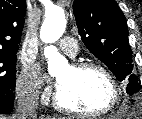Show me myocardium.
Wrapping results in <instances>:
<instances>
[{
  "instance_id": "f54148a6",
  "label": "myocardium",
  "mask_w": 142,
  "mask_h": 119,
  "mask_svg": "<svg viewBox=\"0 0 142 119\" xmlns=\"http://www.w3.org/2000/svg\"><path fill=\"white\" fill-rule=\"evenodd\" d=\"M71 68L75 71H84L89 69H95L100 71L109 82V85L111 88L110 100L105 107L97 111H91V112L80 111V110L73 109L64 105L60 100L59 91L57 89L53 97V104L57 109L65 113L81 116V117H100V116L106 115L107 113H109L116 107L120 98V90H119V86H118V82L116 78L106 66L93 61H79V62L73 63L71 65Z\"/></svg>"
}]
</instances>
